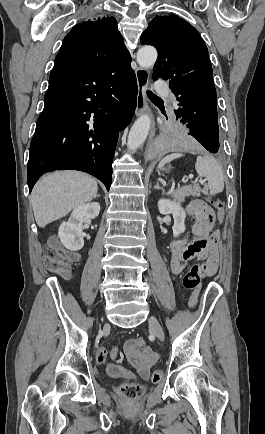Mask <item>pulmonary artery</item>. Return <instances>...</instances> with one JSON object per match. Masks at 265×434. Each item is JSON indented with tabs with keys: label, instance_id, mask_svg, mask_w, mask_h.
<instances>
[{
	"label": "pulmonary artery",
	"instance_id": "obj_1",
	"mask_svg": "<svg viewBox=\"0 0 265 434\" xmlns=\"http://www.w3.org/2000/svg\"><path fill=\"white\" fill-rule=\"evenodd\" d=\"M156 81H160V78H156Z\"/></svg>",
	"mask_w": 265,
	"mask_h": 434
}]
</instances>
